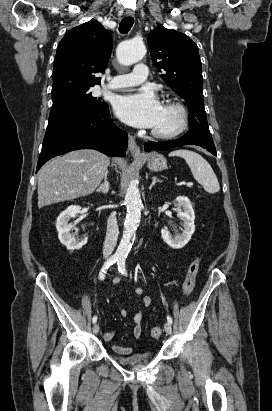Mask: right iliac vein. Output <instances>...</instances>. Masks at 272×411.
I'll list each match as a JSON object with an SVG mask.
<instances>
[{
	"instance_id": "obj_1",
	"label": "right iliac vein",
	"mask_w": 272,
	"mask_h": 411,
	"mask_svg": "<svg viewBox=\"0 0 272 411\" xmlns=\"http://www.w3.org/2000/svg\"><path fill=\"white\" fill-rule=\"evenodd\" d=\"M99 330H100L99 325H98V324H94V326H93V332H94V334H98Z\"/></svg>"
}]
</instances>
